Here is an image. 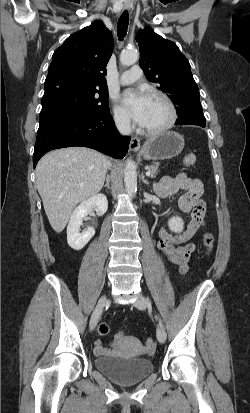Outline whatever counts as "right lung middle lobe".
<instances>
[{
    "mask_svg": "<svg viewBox=\"0 0 250 413\" xmlns=\"http://www.w3.org/2000/svg\"><path fill=\"white\" fill-rule=\"evenodd\" d=\"M59 111L109 112L108 89L65 85L44 93L40 120Z\"/></svg>",
    "mask_w": 250,
    "mask_h": 413,
    "instance_id": "obj_1",
    "label": "right lung middle lobe"
}]
</instances>
